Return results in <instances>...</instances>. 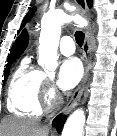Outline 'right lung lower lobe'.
Returning <instances> with one entry per match:
<instances>
[{
    "label": "right lung lower lobe",
    "instance_id": "right-lung-lower-lobe-1",
    "mask_svg": "<svg viewBox=\"0 0 117 136\" xmlns=\"http://www.w3.org/2000/svg\"><path fill=\"white\" fill-rule=\"evenodd\" d=\"M64 122H65V117L59 115L53 120L52 124L57 128L58 132H60L62 130Z\"/></svg>",
    "mask_w": 117,
    "mask_h": 136
}]
</instances>
